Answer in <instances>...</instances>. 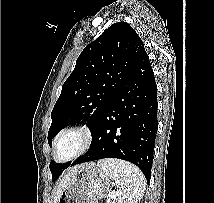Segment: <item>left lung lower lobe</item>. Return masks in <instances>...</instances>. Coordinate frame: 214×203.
<instances>
[{"label":"left lung lower lobe","instance_id":"left-lung-lower-lobe-1","mask_svg":"<svg viewBox=\"0 0 214 203\" xmlns=\"http://www.w3.org/2000/svg\"><path fill=\"white\" fill-rule=\"evenodd\" d=\"M157 106V85L145 52L101 115L89 150L69 166L118 158L138 166L150 182Z\"/></svg>","mask_w":214,"mask_h":203}]
</instances>
